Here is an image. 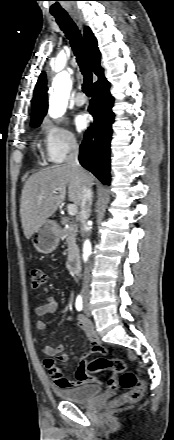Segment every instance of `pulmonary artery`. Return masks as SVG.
Listing matches in <instances>:
<instances>
[{"label": "pulmonary artery", "instance_id": "e3ab8cb5", "mask_svg": "<svg viewBox=\"0 0 174 440\" xmlns=\"http://www.w3.org/2000/svg\"><path fill=\"white\" fill-rule=\"evenodd\" d=\"M73 101L77 106H83L86 103V99L82 93H77L74 96Z\"/></svg>", "mask_w": 174, "mask_h": 440}]
</instances>
